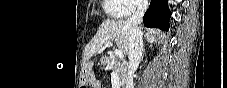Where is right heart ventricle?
I'll list each match as a JSON object with an SVG mask.
<instances>
[{"mask_svg": "<svg viewBox=\"0 0 227 88\" xmlns=\"http://www.w3.org/2000/svg\"><path fill=\"white\" fill-rule=\"evenodd\" d=\"M103 8L111 18L122 19L126 17L127 4L124 0H104Z\"/></svg>", "mask_w": 227, "mask_h": 88, "instance_id": "obj_1", "label": "right heart ventricle"}]
</instances>
